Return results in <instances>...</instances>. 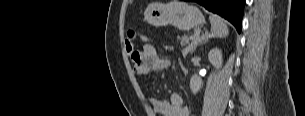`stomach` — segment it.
Listing matches in <instances>:
<instances>
[{
	"label": "stomach",
	"mask_w": 305,
	"mask_h": 116,
	"mask_svg": "<svg viewBox=\"0 0 305 116\" xmlns=\"http://www.w3.org/2000/svg\"><path fill=\"white\" fill-rule=\"evenodd\" d=\"M144 20L155 27L173 25L179 29L193 28L204 23V17L198 8L181 1L149 5L144 13Z\"/></svg>",
	"instance_id": "1"
}]
</instances>
